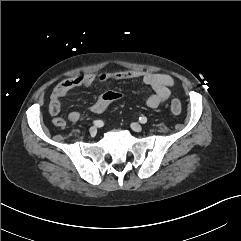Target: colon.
Returning <instances> with one entry per match:
<instances>
[{
  "label": "colon",
  "mask_w": 241,
  "mask_h": 241,
  "mask_svg": "<svg viewBox=\"0 0 241 241\" xmlns=\"http://www.w3.org/2000/svg\"><path fill=\"white\" fill-rule=\"evenodd\" d=\"M102 97L108 101H115L119 100L122 97V94L118 90H107L102 94ZM170 110L173 114H180L182 111V105L181 102L178 99H173L170 103Z\"/></svg>",
  "instance_id": "obj_1"
}]
</instances>
